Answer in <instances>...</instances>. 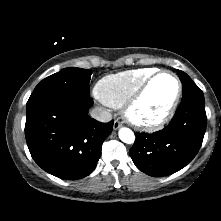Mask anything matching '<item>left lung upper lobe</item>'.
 Returning <instances> with one entry per match:
<instances>
[{
  "instance_id": "1",
  "label": "left lung upper lobe",
  "mask_w": 221,
  "mask_h": 221,
  "mask_svg": "<svg viewBox=\"0 0 221 221\" xmlns=\"http://www.w3.org/2000/svg\"><path fill=\"white\" fill-rule=\"evenodd\" d=\"M178 76L182 82L183 96L182 101L187 99H204L201 89L191 80V78L181 70L177 71Z\"/></svg>"
}]
</instances>
